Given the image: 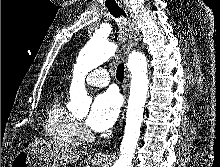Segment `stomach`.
Here are the masks:
<instances>
[{"mask_svg": "<svg viewBox=\"0 0 220 167\" xmlns=\"http://www.w3.org/2000/svg\"><path fill=\"white\" fill-rule=\"evenodd\" d=\"M104 162L105 160L97 161V164L99 167H103ZM11 167H61V165L53 162L43 163L33 151L24 149L15 156Z\"/></svg>", "mask_w": 220, "mask_h": 167, "instance_id": "1", "label": "stomach"}]
</instances>
